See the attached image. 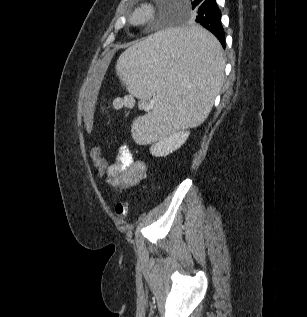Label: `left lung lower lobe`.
Here are the masks:
<instances>
[{
	"mask_svg": "<svg viewBox=\"0 0 307 317\" xmlns=\"http://www.w3.org/2000/svg\"><path fill=\"white\" fill-rule=\"evenodd\" d=\"M192 8L195 9V21L213 33L225 48L224 29L221 24V11L216 0H195ZM182 43L198 53L204 60L213 61L216 57L215 50L192 38H179Z\"/></svg>",
	"mask_w": 307,
	"mask_h": 317,
	"instance_id": "obj_1",
	"label": "left lung lower lobe"
}]
</instances>
